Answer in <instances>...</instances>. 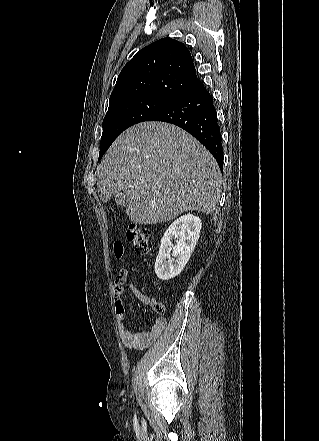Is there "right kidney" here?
<instances>
[{
    "instance_id": "1",
    "label": "right kidney",
    "mask_w": 319,
    "mask_h": 441,
    "mask_svg": "<svg viewBox=\"0 0 319 441\" xmlns=\"http://www.w3.org/2000/svg\"><path fill=\"white\" fill-rule=\"evenodd\" d=\"M201 228L200 218L192 214L179 217L167 228L155 262V273L159 279L170 280L181 273L196 246ZM170 252L173 258L167 261Z\"/></svg>"
}]
</instances>
